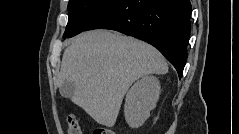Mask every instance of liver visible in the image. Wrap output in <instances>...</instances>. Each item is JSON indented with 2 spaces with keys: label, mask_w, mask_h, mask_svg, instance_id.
<instances>
[{
  "label": "liver",
  "mask_w": 239,
  "mask_h": 134,
  "mask_svg": "<svg viewBox=\"0 0 239 134\" xmlns=\"http://www.w3.org/2000/svg\"><path fill=\"white\" fill-rule=\"evenodd\" d=\"M167 72L165 58L153 46L116 32L93 30L80 34L65 50L58 84L72 82L71 101L98 124L113 127L132 83Z\"/></svg>",
  "instance_id": "6515ba94"
}]
</instances>
